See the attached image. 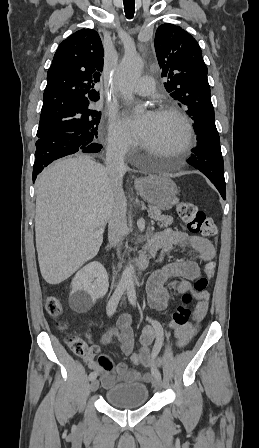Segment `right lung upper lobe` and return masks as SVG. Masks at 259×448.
Returning <instances> with one entry per match:
<instances>
[{
  "label": "right lung upper lobe",
  "mask_w": 259,
  "mask_h": 448,
  "mask_svg": "<svg viewBox=\"0 0 259 448\" xmlns=\"http://www.w3.org/2000/svg\"><path fill=\"white\" fill-rule=\"evenodd\" d=\"M104 51L99 34L82 29L58 47L47 72L42 113L75 110L99 100L94 89L101 78Z\"/></svg>",
  "instance_id": "obj_1"
}]
</instances>
